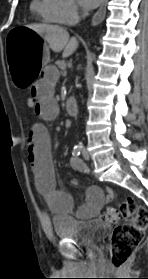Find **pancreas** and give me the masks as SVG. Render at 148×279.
I'll list each match as a JSON object with an SVG mask.
<instances>
[{"label":"pancreas","instance_id":"1","mask_svg":"<svg viewBox=\"0 0 148 279\" xmlns=\"http://www.w3.org/2000/svg\"><path fill=\"white\" fill-rule=\"evenodd\" d=\"M56 65L60 68V69H65V62L64 61H57Z\"/></svg>","mask_w":148,"mask_h":279}]
</instances>
